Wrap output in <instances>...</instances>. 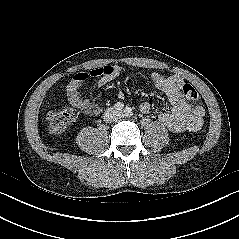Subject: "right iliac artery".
Masks as SVG:
<instances>
[{
	"label": "right iliac artery",
	"mask_w": 239,
	"mask_h": 239,
	"mask_svg": "<svg viewBox=\"0 0 239 239\" xmlns=\"http://www.w3.org/2000/svg\"><path fill=\"white\" fill-rule=\"evenodd\" d=\"M114 107L116 110L120 111L123 109L124 105L121 102H117Z\"/></svg>",
	"instance_id": "right-iliac-artery-1"
}]
</instances>
